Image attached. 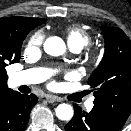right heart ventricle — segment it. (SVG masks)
<instances>
[{"label":"right heart ventricle","instance_id":"e07e8e85","mask_svg":"<svg viewBox=\"0 0 131 131\" xmlns=\"http://www.w3.org/2000/svg\"><path fill=\"white\" fill-rule=\"evenodd\" d=\"M65 36L72 49L79 48L81 50L92 41V35L86 29L77 24L67 26L65 29Z\"/></svg>","mask_w":131,"mask_h":131}]
</instances>
